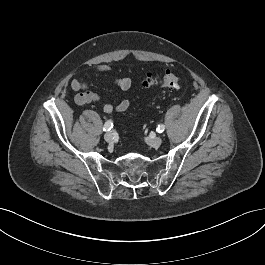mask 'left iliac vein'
I'll return each instance as SVG.
<instances>
[{
  "instance_id": "left-iliac-vein-1",
  "label": "left iliac vein",
  "mask_w": 265,
  "mask_h": 265,
  "mask_svg": "<svg viewBox=\"0 0 265 265\" xmlns=\"http://www.w3.org/2000/svg\"><path fill=\"white\" fill-rule=\"evenodd\" d=\"M146 142L152 146V147H159L162 143V138L159 137V136H156V137H148L146 138Z\"/></svg>"
}]
</instances>
